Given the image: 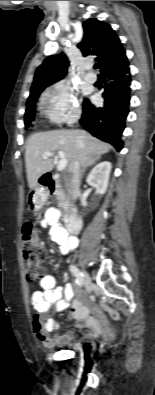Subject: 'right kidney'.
<instances>
[{"instance_id":"ca27d5eb","label":"right kidney","mask_w":155,"mask_h":395,"mask_svg":"<svg viewBox=\"0 0 155 395\" xmlns=\"http://www.w3.org/2000/svg\"><path fill=\"white\" fill-rule=\"evenodd\" d=\"M111 168L110 162H101L91 170L87 177V183L93 186L100 195L105 194L107 190Z\"/></svg>"}]
</instances>
